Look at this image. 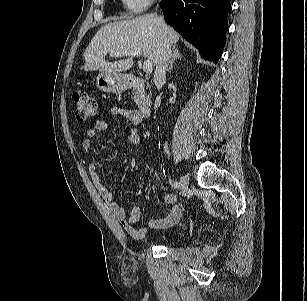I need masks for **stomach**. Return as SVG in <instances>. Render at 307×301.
Segmentation results:
<instances>
[{"label": "stomach", "instance_id": "stomach-1", "mask_svg": "<svg viewBox=\"0 0 307 301\" xmlns=\"http://www.w3.org/2000/svg\"><path fill=\"white\" fill-rule=\"evenodd\" d=\"M96 85L101 91L119 94L127 89L128 77L120 73L101 72L96 77Z\"/></svg>", "mask_w": 307, "mask_h": 301}]
</instances>
